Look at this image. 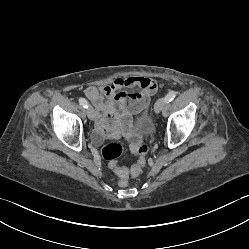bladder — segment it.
<instances>
[{
	"instance_id": "obj_1",
	"label": "bladder",
	"mask_w": 249,
	"mask_h": 249,
	"mask_svg": "<svg viewBox=\"0 0 249 249\" xmlns=\"http://www.w3.org/2000/svg\"><path fill=\"white\" fill-rule=\"evenodd\" d=\"M137 133L140 136H146V135H148V133H149V126H148L146 117H143L140 120V122H139V124L137 126Z\"/></svg>"
}]
</instances>
